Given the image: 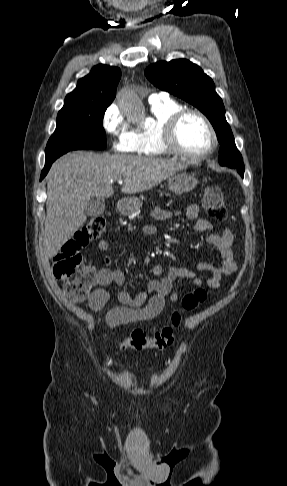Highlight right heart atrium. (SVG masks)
Returning a JSON list of instances; mask_svg holds the SVG:
<instances>
[{
  "mask_svg": "<svg viewBox=\"0 0 287 486\" xmlns=\"http://www.w3.org/2000/svg\"><path fill=\"white\" fill-rule=\"evenodd\" d=\"M102 127L111 137L112 148L118 152H134L136 141L134 131L116 105H110L103 113Z\"/></svg>",
  "mask_w": 287,
  "mask_h": 486,
  "instance_id": "right-heart-atrium-1",
  "label": "right heart atrium"
}]
</instances>
